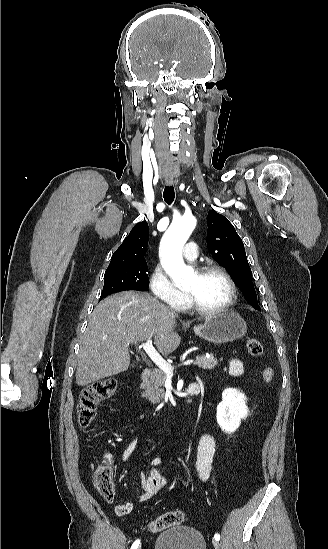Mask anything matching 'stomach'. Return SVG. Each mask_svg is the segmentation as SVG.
Segmentation results:
<instances>
[{
    "label": "stomach",
    "mask_w": 328,
    "mask_h": 549,
    "mask_svg": "<svg viewBox=\"0 0 328 549\" xmlns=\"http://www.w3.org/2000/svg\"><path fill=\"white\" fill-rule=\"evenodd\" d=\"M197 337L209 341V343H231L241 339L247 333V325L239 313L232 309H224L217 315L206 317L203 325L193 327Z\"/></svg>",
    "instance_id": "0dacf381"
}]
</instances>
